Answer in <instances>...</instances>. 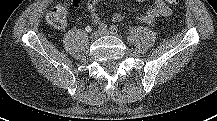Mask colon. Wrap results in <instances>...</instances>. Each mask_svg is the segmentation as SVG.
<instances>
[{"mask_svg": "<svg viewBox=\"0 0 217 121\" xmlns=\"http://www.w3.org/2000/svg\"><path fill=\"white\" fill-rule=\"evenodd\" d=\"M167 3L175 5L180 0H165ZM47 22L55 28H63L67 23V9L63 5L53 7L46 15Z\"/></svg>", "mask_w": 217, "mask_h": 121, "instance_id": "1", "label": "colon"}]
</instances>
